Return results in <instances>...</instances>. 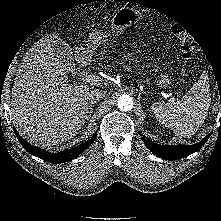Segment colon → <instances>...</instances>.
<instances>
[{"mask_svg":"<svg viewBox=\"0 0 221 221\" xmlns=\"http://www.w3.org/2000/svg\"><path fill=\"white\" fill-rule=\"evenodd\" d=\"M173 34L178 38L179 49L183 59H191L195 50V43L187 34L186 30L180 25H173L171 28Z\"/></svg>","mask_w":221,"mask_h":221,"instance_id":"1","label":"colon"}]
</instances>
